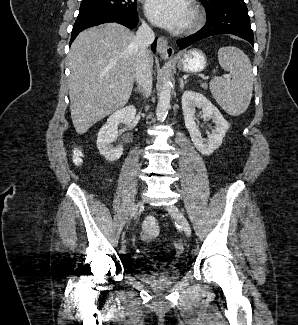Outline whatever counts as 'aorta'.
I'll return each instance as SVG.
<instances>
[{
  "mask_svg": "<svg viewBox=\"0 0 298 325\" xmlns=\"http://www.w3.org/2000/svg\"><path fill=\"white\" fill-rule=\"evenodd\" d=\"M172 80L169 74H165L162 78V86L161 90L158 94V102L156 106V118L157 120H164L167 116L168 108L171 106V98H172Z\"/></svg>",
  "mask_w": 298,
  "mask_h": 325,
  "instance_id": "762f6f07",
  "label": "aorta"
}]
</instances>
